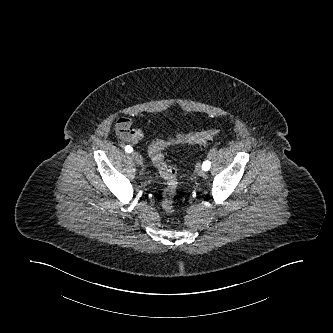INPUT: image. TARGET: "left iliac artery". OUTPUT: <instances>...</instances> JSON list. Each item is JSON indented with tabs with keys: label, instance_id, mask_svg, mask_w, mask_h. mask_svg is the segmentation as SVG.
<instances>
[{
	"label": "left iliac artery",
	"instance_id": "left-iliac-artery-1",
	"mask_svg": "<svg viewBox=\"0 0 333 333\" xmlns=\"http://www.w3.org/2000/svg\"><path fill=\"white\" fill-rule=\"evenodd\" d=\"M210 166H211V162L207 159L203 162L202 169L204 171H208L210 169Z\"/></svg>",
	"mask_w": 333,
	"mask_h": 333
}]
</instances>
